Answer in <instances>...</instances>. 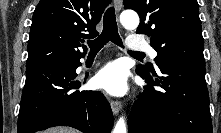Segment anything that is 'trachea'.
<instances>
[{"instance_id": "1", "label": "trachea", "mask_w": 221, "mask_h": 133, "mask_svg": "<svg viewBox=\"0 0 221 133\" xmlns=\"http://www.w3.org/2000/svg\"><path fill=\"white\" fill-rule=\"evenodd\" d=\"M109 41L120 47H123L122 40L118 33L115 10L113 7L108 8L104 14L103 31L100 36L94 40H89L87 43L90 47V52H98ZM129 54L138 57L145 56V54L142 52L129 51Z\"/></svg>"}]
</instances>
